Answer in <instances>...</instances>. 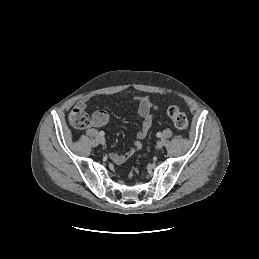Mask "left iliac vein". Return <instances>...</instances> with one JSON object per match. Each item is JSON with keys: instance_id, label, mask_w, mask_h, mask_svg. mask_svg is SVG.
I'll list each match as a JSON object with an SVG mask.
<instances>
[{"instance_id": "left-iliac-vein-1", "label": "left iliac vein", "mask_w": 259, "mask_h": 259, "mask_svg": "<svg viewBox=\"0 0 259 259\" xmlns=\"http://www.w3.org/2000/svg\"><path fill=\"white\" fill-rule=\"evenodd\" d=\"M156 146H157L158 149H161L163 147V142L158 141Z\"/></svg>"}]
</instances>
